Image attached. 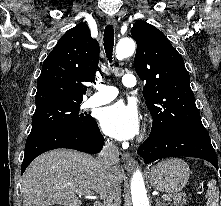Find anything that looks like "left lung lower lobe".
Here are the masks:
<instances>
[{
	"label": "left lung lower lobe",
	"instance_id": "1",
	"mask_svg": "<svg viewBox=\"0 0 221 206\" xmlns=\"http://www.w3.org/2000/svg\"><path fill=\"white\" fill-rule=\"evenodd\" d=\"M138 154L147 164L166 157L189 156L205 159L218 169L216 152L206 129L150 135L138 148Z\"/></svg>",
	"mask_w": 221,
	"mask_h": 206
}]
</instances>
